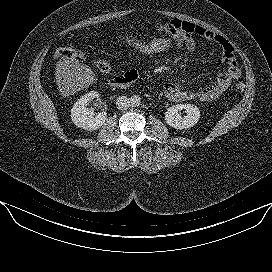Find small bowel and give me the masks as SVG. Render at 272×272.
Instances as JSON below:
<instances>
[{
	"label": "small bowel",
	"instance_id": "obj_1",
	"mask_svg": "<svg viewBox=\"0 0 272 272\" xmlns=\"http://www.w3.org/2000/svg\"><path fill=\"white\" fill-rule=\"evenodd\" d=\"M157 28L174 40L178 49L186 52H192L195 49L194 36H199L209 42L215 43L221 49L222 62L225 64V68L218 73L211 84L198 90L185 89L176 82L167 83L164 86V93L169 100L174 102L189 100L213 101L225 93L233 80L239 78L241 70L233 46L224 36L202 25L177 19L159 24ZM130 36L137 35L130 34ZM127 74L137 77L136 72L133 70L127 72Z\"/></svg>",
	"mask_w": 272,
	"mask_h": 272
}]
</instances>
